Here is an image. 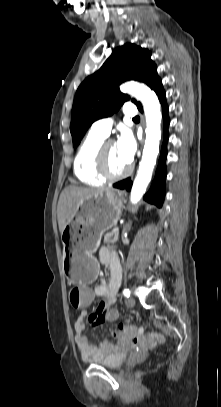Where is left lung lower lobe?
I'll return each instance as SVG.
<instances>
[{"mask_svg": "<svg viewBox=\"0 0 221 407\" xmlns=\"http://www.w3.org/2000/svg\"><path fill=\"white\" fill-rule=\"evenodd\" d=\"M153 90L156 92V94L159 97V100L162 104L163 107V119H164V129H163V135H164V141H163V146L158 162V167L155 173V178L152 182L151 188L148 191V193L144 196V199L147 200L150 203L155 204L158 207L162 206L164 197H165V178H166V164L165 160L167 157V151H166V143L168 140V132H167V127L169 124V118L167 115L168 112V107L166 104L165 100V92L162 86L161 80L157 82V84L154 86ZM138 109L142 112V106H138ZM132 186V182L130 178H127L125 180H122L120 182H117L113 185V187L118 188V189H126L127 191H130Z\"/></svg>", "mask_w": 221, "mask_h": 407, "instance_id": "0a47b994", "label": "left lung lower lobe"}]
</instances>
